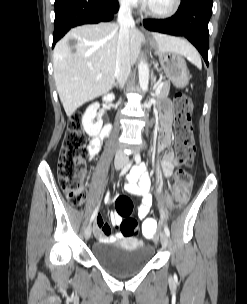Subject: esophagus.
Wrapping results in <instances>:
<instances>
[{
  "instance_id": "esophagus-1",
  "label": "esophagus",
  "mask_w": 247,
  "mask_h": 304,
  "mask_svg": "<svg viewBox=\"0 0 247 304\" xmlns=\"http://www.w3.org/2000/svg\"><path fill=\"white\" fill-rule=\"evenodd\" d=\"M138 25H139L140 29H141L142 31H144L143 22H142L141 19H138Z\"/></svg>"
}]
</instances>
